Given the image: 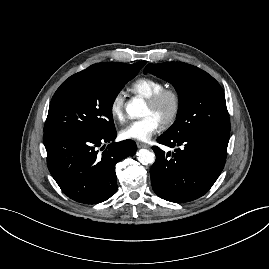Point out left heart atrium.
<instances>
[{
	"label": "left heart atrium",
	"mask_w": 269,
	"mask_h": 269,
	"mask_svg": "<svg viewBox=\"0 0 269 269\" xmlns=\"http://www.w3.org/2000/svg\"><path fill=\"white\" fill-rule=\"evenodd\" d=\"M161 121L154 115H146L141 119L134 120L127 124L121 131L123 139L148 141L161 129Z\"/></svg>",
	"instance_id": "left-heart-atrium-1"
}]
</instances>
